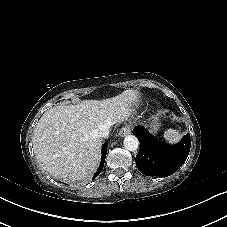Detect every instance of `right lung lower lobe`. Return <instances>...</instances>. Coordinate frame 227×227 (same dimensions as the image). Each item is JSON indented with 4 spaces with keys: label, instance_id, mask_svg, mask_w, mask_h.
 <instances>
[{
    "label": "right lung lower lobe",
    "instance_id": "obj_1",
    "mask_svg": "<svg viewBox=\"0 0 227 227\" xmlns=\"http://www.w3.org/2000/svg\"><path fill=\"white\" fill-rule=\"evenodd\" d=\"M107 147H108V143L103 144L102 146V151H101V163L99 165V168L97 170V172L95 173L93 179H95L102 171L103 167H104V162H105V158H106V153H107Z\"/></svg>",
    "mask_w": 227,
    "mask_h": 227
}]
</instances>
